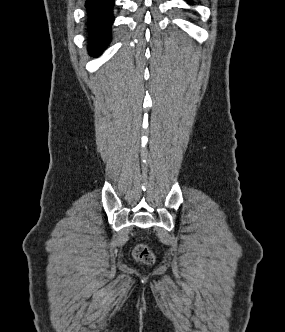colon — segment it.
Here are the masks:
<instances>
[{
	"mask_svg": "<svg viewBox=\"0 0 285 332\" xmlns=\"http://www.w3.org/2000/svg\"><path fill=\"white\" fill-rule=\"evenodd\" d=\"M133 257L144 264H150L154 261V255L151 250L143 244L137 245L133 250Z\"/></svg>",
	"mask_w": 285,
	"mask_h": 332,
	"instance_id": "1",
	"label": "colon"
}]
</instances>
